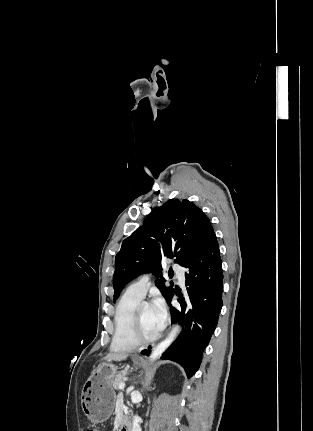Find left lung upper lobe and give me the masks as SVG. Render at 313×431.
Listing matches in <instances>:
<instances>
[{
    "mask_svg": "<svg viewBox=\"0 0 313 431\" xmlns=\"http://www.w3.org/2000/svg\"><path fill=\"white\" fill-rule=\"evenodd\" d=\"M210 227L204 212L186 199H171L155 208L143 226L123 241L115 257L114 302L125 284L140 274L153 272L162 277L163 258H174L175 263L185 266ZM164 282V278L157 279L156 285L168 301L174 292L173 284L166 287Z\"/></svg>",
    "mask_w": 313,
    "mask_h": 431,
    "instance_id": "1",
    "label": "left lung upper lobe"
}]
</instances>
